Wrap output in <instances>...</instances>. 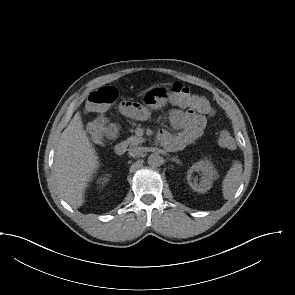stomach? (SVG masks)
Returning <instances> with one entry per match:
<instances>
[{"instance_id": "0dacf381", "label": "stomach", "mask_w": 295, "mask_h": 295, "mask_svg": "<svg viewBox=\"0 0 295 295\" xmlns=\"http://www.w3.org/2000/svg\"><path fill=\"white\" fill-rule=\"evenodd\" d=\"M169 91L163 88H155L147 95V102L151 109L164 106L168 100Z\"/></svg>"}]
</instances>
